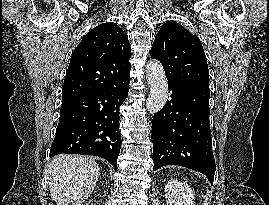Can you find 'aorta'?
Returning <instances> with one entry per match:
<instances>
[{
  "label": "aorta",
  "instance_id": "762f6f07",
  "mask_svg": "<svg viewBox=\"0 0 269 205\" xmlns=\"http://www.w3.org/2000/svg\"><path fill=\"white\" fill-rule=\"evenodd\" d=\"M146 77L150 92L146 102L149 113L159 112L168 97V83L162 65L157 60H150L146 65Z\"/></svg>",
  "mask_w": 269,
  "mask_h": 205
}]
</instances>
